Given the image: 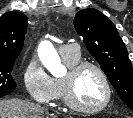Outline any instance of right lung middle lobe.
<instances>
[{"label": "right lung middle lobe", "instance_id": "1", "mask_svg": "<svg viewBox=\"0 0 133 118\" xmlns=\"http://www.w3.org/2000/svg\"><path fill=\"white\" fill-rule=\"evenodd\" d=\"M15 59L0 58V97H3L16 88L11 75Z\"/></svg>", "mask_w": 133, "mask_h": 118}]
</instances>
